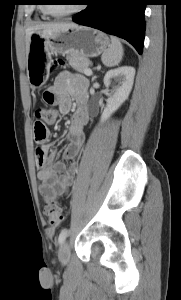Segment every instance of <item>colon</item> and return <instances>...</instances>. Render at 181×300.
<instances>
[{
    "mask_svg": "<svg viewBox=\"0 0 181 300\" xmlns=\"http://www.w3.org/2000/svg\"><path fill=\"white\" fill-rule=\"evenodd\" d=\"M63 64L61 59L54 62L52 69ZM44 98L47 101L46 105L37 107L35 109V117L38 122L34 125V138L37 144V149L44 145L48 137V129L46 124L52 123L57 118V111L53 107L54 95L46 92ZM39 162L42 161L41 158L38 159ZM44 214L48 222L52 226H57L61 224L65 219V214L62 211L59 203L54 199H49L45 203Z\"/></svg>",
    "mask_w": 181,
    "mask_h": 300,
    "instance_id": "1",
    "label": "colon"
}]
</instances>
